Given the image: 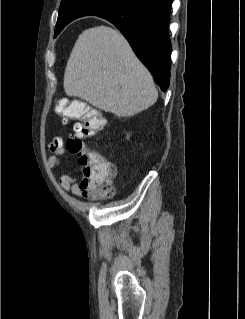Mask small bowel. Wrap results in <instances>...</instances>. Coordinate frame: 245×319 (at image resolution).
Masks as SVG:
<instances>
[{
  "label": "small bowel",
  "instance_id": "small-bowel-1",
  "mask_svg": "<svg viewBox=\"0 0 245 319\" xmlns=\"http://www.w3.org/2000/svg\"><path fill=\"white\" fill-rule=\"evenodd\" d=\"M48 150L51 152L48 163L51 168L60 167L63 164L62 155L65 152L64 139L61 136L55 137L49 144ZM61 187L66 192H71L75 196H81V191L76 180L71 176L64 174L60 177Z\"/></svg>",
  "mask_w": 245,
  "mask_h": 319
}]
</instances>
